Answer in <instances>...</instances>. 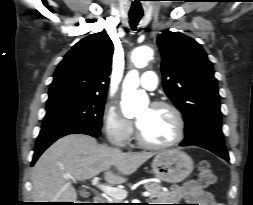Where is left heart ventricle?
<instances>
[{
    "label": "left heart ventricle",
    "mask_w": 253,
    "mask_h": 205,
    "mask_svg": "<svg viewBox=\"0 0 253 205\" xmlns=\"http://www.w3.org/2000/svg\"><path fill=\"white\" fill-rule=\"evenodd\" d=\"M138 128L144 139L151 143H166L176 135L172 113L164 108H142L136 115Z\"/></svg>",
    "instance_id": "b2bd125f"
}]
</instances>
